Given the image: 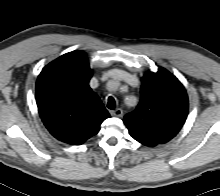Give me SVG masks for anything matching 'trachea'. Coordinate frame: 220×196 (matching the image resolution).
Wrapping results in <instances>:
<instances>
[{
  "label": "trachea",
  "mask_w": 220,
  "mask_h": 196,
  "mask_svg": "<svg viewBox=\"0 0 220 196\" xmlns=\"http://www.w3.org/2000/svg\"><path fill=\"white\" fill-rule=\"evenodd\" d=\"M107 107L111 110H114L116 107L115 99L112 96L108 97Z\"/></svg>",
  "instance_id": "3493384b"
}]
</instances>
